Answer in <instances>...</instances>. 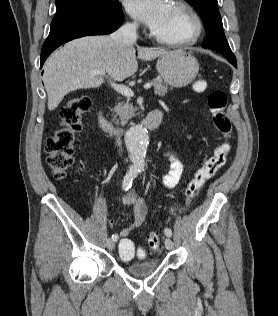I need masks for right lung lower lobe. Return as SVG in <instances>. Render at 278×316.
<instances>
[{
  "label": "right lung lower lobe",
  "instance_id": "1",
  "mask_svg": "<svg viewBox=\"0 0 278 316\" xmlns=\"http://www.w3.org/2000/svg\"><path fill=\"white\" fill-rule=\"evenodd\" d=\"M109 12H95L54 21L41 51L43 66L46 58L60 45L83 36L110 34L117 30L123 21L121 4Z\"/></svg>",
  "mask_w": 278,
  "mask_h": 316
}]
</instances>
